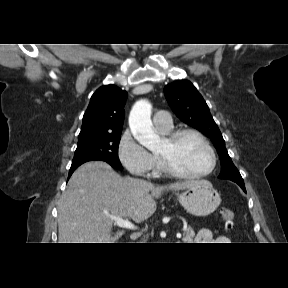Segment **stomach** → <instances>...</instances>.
Returning <instances> with one entry per match:
<instances>
[{"mask_svg":"<svg viewBox=\"0 0 288 288\" xmlns=\"http://www.w3.org/2000/svg\"><path fill=\"white\" fill-rule=\"evenodd\" d=\"M180 204L194 216H207L221 203L220 194L208 182L196 184L176 194Z\"/></svg>","mask_w":288,"mask_h":288,"instance_id":"1","label":"stomach"}]
</instances>
